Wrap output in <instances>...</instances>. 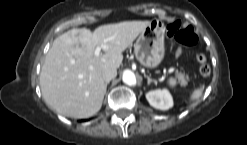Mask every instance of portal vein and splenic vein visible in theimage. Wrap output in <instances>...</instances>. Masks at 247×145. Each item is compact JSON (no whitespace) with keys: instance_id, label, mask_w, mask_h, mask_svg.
<instances>
[{"instance_id":"1","label":"portal vein and splenic vein","mask_w":247,"mask_h":145,"mask_svg":"<svg viewBox=\"0 0 247 145\" xmlns=\"http://www.w3.org/2000/svg\"><path fill=\"white\" fill-rule=\"evenodd\" d=\"M110 39H111V38L107 39L106 41H108V40H110ZM103 48H105V46H98V47L95 49V51H94V55H95L96 57H98V56L100 55L101 50H102Z\"/></svg>"}]
</instances>
